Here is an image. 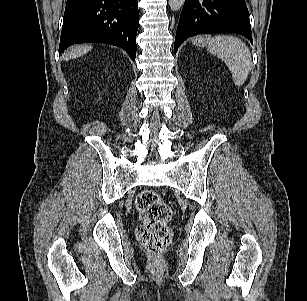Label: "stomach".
Masks as SVG:
<instances>
[{
    "label": "stomach",
    "mask_w": 307,
    "mask_h": 301,
    "mask_svg": "<svg viewBox=\"0 0 307 301\" xmlns=\"http://www.w3.org/2000/svg\"><path fill=\"white\" fill-rule=\"evenodd\" d=\"M208 42L207 37H197L194 39V43L199 46H205Z\"/></svg>",
    "instance_id": "obj_1"
}]
</instances>
